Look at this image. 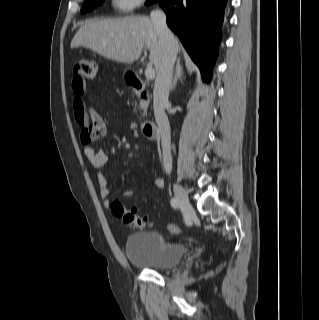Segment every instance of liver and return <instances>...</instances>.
<instances>
[{
    "mask_svg": "<svg viewBox=\"0 0 319 320\" xmlns=\"http://www.w3.org/2000/svg\"><path fill=\"white\" fill-rule=\"evenodd\" d=\"M70 47H85L107 59L126 64L136 61L147 48L156 74L163 55L155 25L146 16L87 21L73 37ZM175 47L177 54L180 45L176 39Z\"/></svg>",
    "mask_w": 319,
    "mask_h": 320,
    "instance_id": "1",
    "label": "liver"
}]
</instances>
